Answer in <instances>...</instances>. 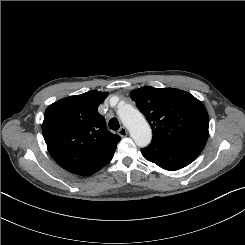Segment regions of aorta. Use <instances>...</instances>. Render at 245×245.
<instances>
[{
  "label": "aorta",
  "mask_w": 245,
  "mask_h": 245,
  "mask_svg": "<svg viewBox=\"0 0 245 245\" xmlns=\"http://www.w3.org/2000/svg\"><path fill=\"white\" fill-rule=\"evenodd\" d=\"M118 116L128 128L130 136L137 146L146 147L151 142L152 133L150 126L137 109L126 104L119 108Z\"/></svg>",
  "instance_id": "1"
}]
</instances>
